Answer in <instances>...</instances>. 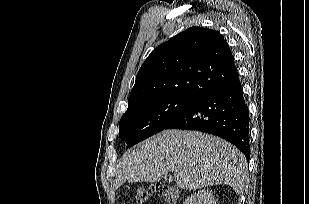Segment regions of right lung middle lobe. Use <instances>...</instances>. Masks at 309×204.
I'll return each instance as SVG.
<instances>
[{
  "label": "right lung middle lobe",
  "mask_w": 309,
  "mask_h": 204,
  "mask_svg": "<svg viewBox=\"0 0 309 204\" xmlns=\"http://www.w3.org/2000/svg\"><path fill=\"white\" fill-rule=\"evenodd\" d=\"M198 100L190 96H161L128 105L120 120L119 137L126 142L127 148L132 147L166 129Z\"/></svg>",
  "instance_id": "obj_1"
}]
</instances>
